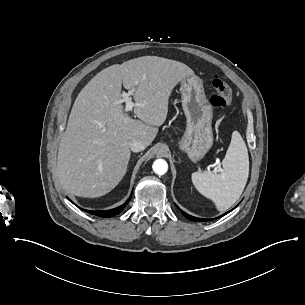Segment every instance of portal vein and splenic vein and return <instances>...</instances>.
<instances>
[{
  "mask_svg": "<svg viewBox=\"0 0 305 305\" xmlns=\"http://www.w3.org/2000/svg\"><path fill=\"white\" fill-rule=\"evenodd\" d=\"M134 90H130L128 93L127 92H122V99L119 101L120 103L125 102L126 106H125V111H131L133 109V106H142L139 103H133L132 99L130 97L131 94H133ZM216 163L218 164L217 168L214 169V171H219L222 172L223 169L220 167V163L216 161Z\"/></svg>",
  "mask_w": 305,
  "mask_h": 305,
  "instance_id": "obj_1",
  "label": "portal vein and splenic vein"
}]
</instances>
